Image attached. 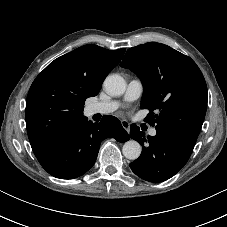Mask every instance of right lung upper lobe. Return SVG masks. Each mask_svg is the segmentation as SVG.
Masks as SVG:
<instances>
[{"instance_id": "right-lung-upper-lobe-1", "label": "right lung upper lobe", "mask_w": 227, "mask_h": 227, "mask_svg": "<svg viewBox=\"0 0 227 227\" xmlns=\"http://www.w3.org/2000/svg\"><path fill=\"white\" fill-rule=\"evenodd\" d=\"M125 49L84 45L52 61L32 83L26 102V126L35 156L84 119L85 100L96 96Z\"/></svg>"}]
</instances>
